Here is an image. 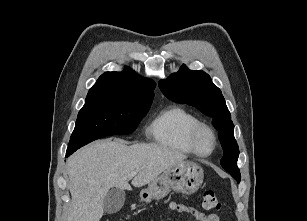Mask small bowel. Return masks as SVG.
<instances>
[{
  "mask_svg": "<svg viewBox=\"0 0 307 221\" xmlns=\"http://www.w3.org/2000/svg\"><path fill=\"white\" fill-rule=\"evenodd\" d=\"M169 209L171 212L186 213L193 215L197 219V221H220L219 217L216 214L206 215L191 206H186L180 203L172 202L169 205Z\"/></svg>",
  "mask_w": 307,
  "mask_h": 221,
  "instance_id": "1",
  "label": "small bowel"
}]
</instances>
